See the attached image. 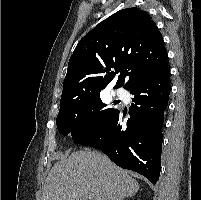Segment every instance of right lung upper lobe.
Listing matches in <instances>:
<instances>
[{"mask_svg":"<svg viewBox=\"0 0 201 200\" xmlns=\"http://www.w3.org/2000/svg\"><path fill=\"white\" fill-rule=\"evenodd\" d=\"M167 69V52L155 22L143 10L123 9L80 40L68 63L61 102L98 93L115 79V89L124 85L130 91Z\"/></svg>","mask_w":201,"mask_h":200,"instance_id":"cb5924a9","label":"right lung upper lobe"}]
</instances>
